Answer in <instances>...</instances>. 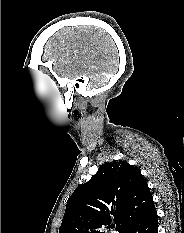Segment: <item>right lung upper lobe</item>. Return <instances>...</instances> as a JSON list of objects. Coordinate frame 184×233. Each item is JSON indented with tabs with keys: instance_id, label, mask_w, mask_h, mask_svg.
<instances>
[{
	"instance_id": "obj_1",
	"label": "right lung upper lobe",
	"mask_w": 184,
	"mask_h": 233,
	"mask_svg": "<svg viewBox=\"0 0 184 233\" xmlns=\"http://www.w3.org/2000/svg\"><path fill=\"white\" fill-rule=\"evenodd\" d=\"M154 204L147 182L138 168L125 161L100 166L67 201L59 233L99 231L113 220L121 233Z\"/></svg>"
}]
</instances>
